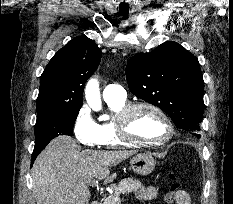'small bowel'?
Returning a JSON list of instances; mask_svg holds the SVG:
<instances>
[{
    "label": "small bowel",
    "instance_id": "obj_1",
    "mask_svg": "<svg viewBox=\"0 0 233 204\" xmlns=\"http://www.w3.org/2000/svg\"><path fill=\"white\" fill-rule=\"evenodd\" d=\"M158 196V191L155 187L148 186L144 187L137 193V198L141 202H149L155 200ZM167 200V199H166ZM169 202H174L175 204H191V199L186 191H182L174 200H167Z\"/></svg>",
    "mask_w": 233,
    "mask_h": 204
}]
</instances>
